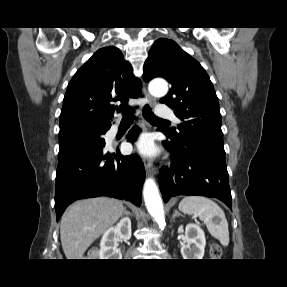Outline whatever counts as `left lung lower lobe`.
Instances as JSON below:
<instances>
[{
	"instance_id": "left-lung-lower-lobe-1",
	"label": "left lung lower lobe",
	"mask_w": 287,
	"mask_h": 287,
	"mask_svg": "<svg viewBox=\"0 0 287 287\" xmlns=\"http://www.w3.org/2000/svg\"><path fill=\"white\" fill-rule=\"evenodd\" d=\"M164 144L174 158L170 168H162L159 174L164 202L178 195H200L218 198L231 208L225 157L197 146H180L171 139Z\"/></svg>"
}]
</instances>
